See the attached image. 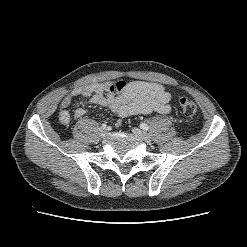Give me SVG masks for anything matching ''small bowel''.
<instances>
[{
    "label": "small bowel",
    "instance_id": "c3829d8e",
    "mask_svg": "<svg viewBox=\"0 0 247 247\" xmlns=\"http://www.w3.org/2000/svg\"><path fill=\"white\" fill-rule=\"evenodd\" d=\"M78 99H85L91 104L108 108L118 117L117 124L129 116L152 112L167 114L172 110L170 105L172 94L162 84L123 80L93 83L77 87L63 98L59 113L61 124L67 125L70 122V107ZM86 113L84 108H78L74 112V117L80 119Z\"/></svg>",
    "mask_w": 247,
    "mask_h": 247
}]
</instances>
